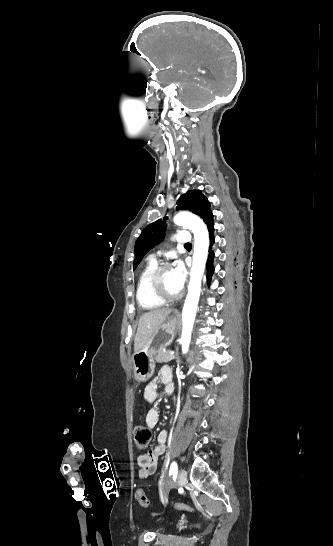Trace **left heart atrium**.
Returning a JSON list of instances; mask_svg holds the SVG:
<instances>
[{
    "instance_id": "39dd6f15",
    "label": "left heart atrium",
    "mask_w": 333,
    "mask_h": 546,
    "mask_svg": "<svg viewBox=\"0 0 333 546\" xmlns=\"http://www.w3.org/2000/svg\"><path fill=\"white\" fill-rule=\"evenodd\" d=\"M171 272L176 288L181 291L186 281L185 267L180 261H178L175 263V266L173 267Z\"/></svg>"
}]
</instances>
